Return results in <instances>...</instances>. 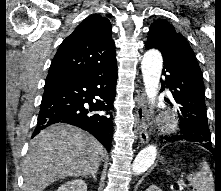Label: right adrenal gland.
Here are the masks:
<instances>
[{"label": "right adrenal gland", "instance_id": "right-adrenal-gland-1", "mask_svg": "<svg viewBox=\"0 0 221 191\" xmlns=\"http://www.w3.org/2000/svg\"><path fill=\"white\" fill-rule=\"evenodd\" d=\"M86 177H92L95 181H97L96 172H93V173L87 175Z\"/></svg>", "mask_w": 221, "mask_h": 191}]
</instances>
